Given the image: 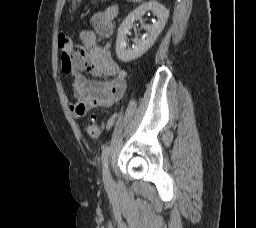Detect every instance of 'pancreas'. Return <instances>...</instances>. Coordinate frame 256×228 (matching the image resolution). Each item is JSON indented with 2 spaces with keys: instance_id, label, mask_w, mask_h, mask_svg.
Wrapping results in <instances>:
<instances>
[{
  "instance_id": "1",
  "label": "pancreas",
  "mask_w": 256,
  "mask_h": 228,
  "mask_svg": "<svg viewBox=\"0 0 256 228\" xmlns=\"http://www.w3.org/2000/svg\"><path fill=\"white\" fill-rule=\"evenodd\" d=\"M128 2H138V1H141V0H127Z\"/></svg>"
}]
</instances>
